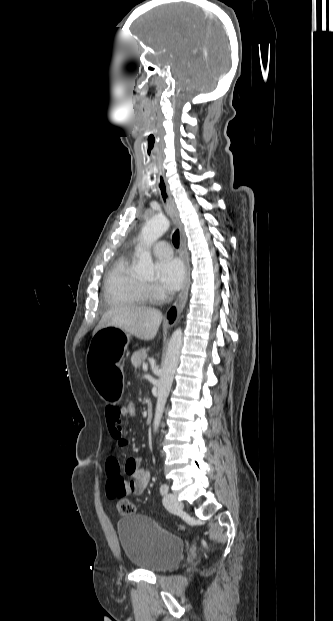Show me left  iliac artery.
<instances>
[{
	"instance_id": "44dca946",
	"label": "left iliac artery",
	"mask_w": 333,
	"mask_h": 621,
	"mask_svg": "<svg viewBox=\"0 0 333 621\" xmlns=\"http://www.w3.org/2000/svg\"><path fill=\"white\" fill-rule=\"evenodd\" d=\"M169 487L167 486V484H162L160 486V492L161 494H166L168 492Z\"/></svg>"
}]
</instances>
